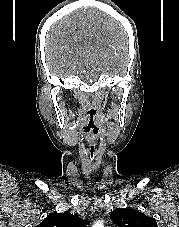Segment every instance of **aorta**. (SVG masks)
Instances as JSON below:
<instances>
[{
    "mask_svg": "<svg viewBox=\"0 0 179 227\" xmlns=\"http://www.w3.org/2000/svg\"><path fill=\"white\" fill-rule=\"evenodd\" d=\"M92 227H104V225L102 221H98Z\"/></svg>",
    "mask_w": 179,
    "mask_h": 227,
    "instance_id": "aorta-1",
    "label": "aorta"
}]
</instances>
